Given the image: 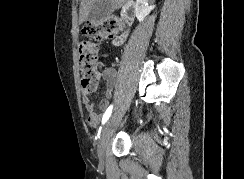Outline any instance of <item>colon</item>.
Listing matches in <instances>:
<instances>
[{
	"instance_id": "colon-1",
	"label": "colon",
	"mask_w": 244,
	"mask_h": 179,
	"mask_svg": "<svg viewBox=\"0 0 244 179\" xmlns=\"http://www.w3.org/2000/svg\"><path fill=\"white\" fill-rule=\"evenodd\" d=\"M96 23V24H95ZM122 22L116 18L89 22L82 26L81 34L86 39L78 45L79 66L82 72V87L94 94L102 77L104 64L97 54L95 41L116 34Z\"/></svg>"
}]
</instances>
